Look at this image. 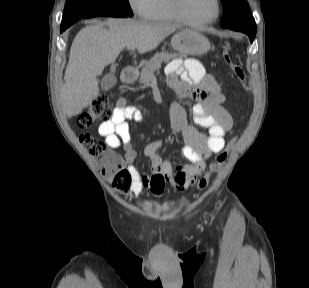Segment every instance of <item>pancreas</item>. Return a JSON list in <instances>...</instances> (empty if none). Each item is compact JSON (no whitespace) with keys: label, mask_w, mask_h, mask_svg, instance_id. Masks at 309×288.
Listing matches in <instances>:
<instances>
[{"label":"pancreas","mask_w":309,"mask_h":288,"mask_svg":"<svg viewBox=\"0 0 309 288\" xmlns=\"http://www.w3.org/2000/svg\"><path fill=\"white\" fill-rule=\"evenodd\" d=\"M180 57L177 54H171L168 52H160L156 53L148 62H146L142 66L140 83L148 84L152 77L154 76V72L158 70L162 63H168L169 61Z\"/></svg>","instance_id":"pancreas-1"}]
</instances>
